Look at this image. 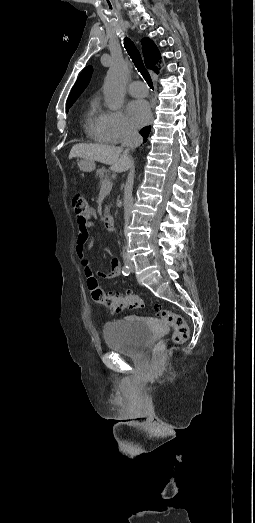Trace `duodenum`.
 Wrapping results in <instances>:
<instances>
[{"mask_svg": "<svg viewBox=\"0 0 255 523\" xmlns=\"http://www.w3.org/2000/svg\"><path fill=\"white\" fill-rule=\"evenodd\" d=\"M104 223L108 230L113 231L115 229L114 217L112 215H106Z\"/></svg>", "mask_w": 255, "mask_h": 523, "instance_id": "410a0bca", "label": "duodenum"}]
</instances>
